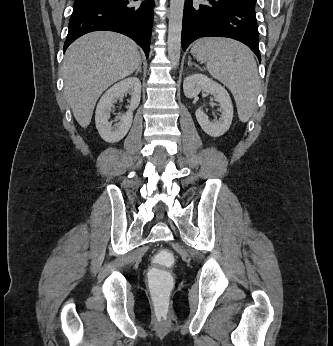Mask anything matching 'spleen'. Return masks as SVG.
I'll use <instances>...</instances> for the list:
<instances>
[{"mask_svg":"<svg viewBox=\"0 0 333 346\" xmlns=\"http://www.w3.org/2000/svg\"><path fill=\"white\" fill-rule=\"evenodd\" d=\"M191 53L232 92L239 119L247 122L255 109L260 85L256 61L250 49L232 39L208 37L197 40Z\"/></svg>","mask_w":333,"mask_h":346,"instance_id":"obj_1","label":"spleen"}]
</instances>
